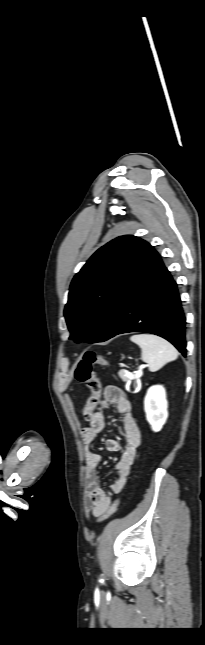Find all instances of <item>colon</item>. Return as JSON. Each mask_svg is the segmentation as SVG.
Listing matches in <instances>:
<instances>
[{
	"label": "colon",
	"instance_id": "obj_1",
	"mask_svg": "<svg viewBox=\"0 0 205 645\" xmlns=\"http://www.w3.org/2000/svg\"><path fill=\"white\" fill-rule=\"evenodd\" d=\"M95 364L108 365V362L101 356H98L92 351H88L83 354V356L78 361L74 375L77 381L84 383L89 390L91 395L89 396L85 407L83 408V417L86 420H90L93 415V410L98 404L101 384L100 381L93 369ZM120 503V498L116 499L98 518V523L110 518L118 509Z\"/></svg>",
	"mask_w": 205,
	"mask_h": 645
}]
</instances>
